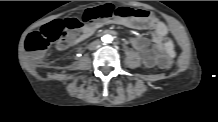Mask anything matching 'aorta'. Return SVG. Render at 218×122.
<instances>
[{"label":"aorta","mask_w":218,"mask_h":122,"mask_svg":"<svg viewBox=\"0 0 218 122\" xmlns=\"http://www.w3.org/2000/svg\"><path fill=\"white\" fill-rule=\"evenodd\" d=\"M113 40L112 36L110 35H104L101 37V41L103 42L104 45L111 43Z\"/></svg>","instance_id":"obj_1"}]
</instances>
